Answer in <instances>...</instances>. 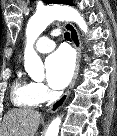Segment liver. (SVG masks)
I'll return each mask as SVG.
<instances>
[{
  "label": "liver",
  "instance_id": "obj_1",
  "mask_svg": "<svg viewBox=\"0 0 117 136\" xmlns=\"http://www.w3.org/2000/svg\"><path fill=\"white\" fill-rule=\"evenodd\" d=\"M41 119L38 111L23 108L6 113L0 129V136H34Z\"/></svg>",
  "mask_w": 117,
  "mask_h": 136
}]
</instances>
